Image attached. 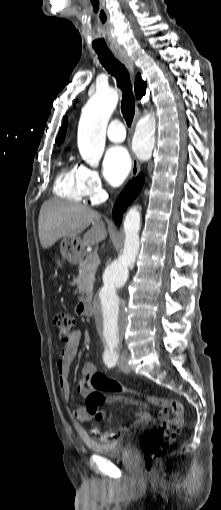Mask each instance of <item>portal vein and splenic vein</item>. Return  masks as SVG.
Here are the masks:
<instances>
[{
  "label": "portal vein and splenic vein",
  "mask_w": 221,
  "mask_h": 510,
  "mask_svg": "<svg viewBox=\"0 0 221 510\" xmlns=\"http://www.w3.org/2000/svg\"><path fill=\"white\" fill-rule=\"evenodd\" d=\"M91 259H93L94 261H98L99 258H98V254L97 253H91L90 255Z\"/></svg>",
  "instance_id": "1"
}]
</instances>
